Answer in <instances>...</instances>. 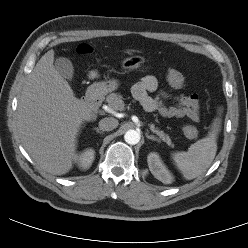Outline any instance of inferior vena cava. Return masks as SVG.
I'll list each match as a JSON object with an SVG mask.
<instances>
[{
  "mask_svg": "<svg viewBox=\"0 0 248 248\" xmlns=\"http://www.w3.org/2000/svg\"><path fill=\"white\" fill-rule=\"evenodd\" d=\"M118 120L112 117H106L100 120L99 129L102 131H111L118 126Z\"/></svg>",
  "mask_w": 248,
  "mask_h": 248,
  "instance_id": "obj_1",
  "label": "inferior vena cava"
}]
</instances>
